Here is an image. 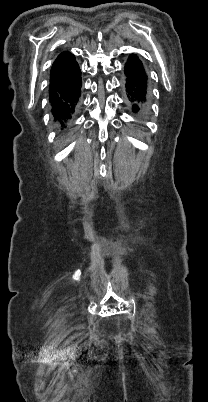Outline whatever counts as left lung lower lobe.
Returning <instances> with one entry per match:
<instances>
[{"label":"left lung lower lobe","instance_id":"0a47b994","mask_svg":"<svg viewBox=\"0 0 208 402\" xmlns=\"http://www.w3.org/2000/svg\"><path fill=\"white\" fill-rule=\"evenodd\" d=\"M125 93L133 113L143 116L148 108L150 88L148 75L142 61L130 54L125 66Z\"/></svg>","mask_w":208,"mask_h":402}]
</instances>
